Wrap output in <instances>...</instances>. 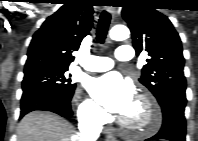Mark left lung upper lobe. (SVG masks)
I'll return each instance as SVG.
<instances>
[{
	"mask_svg": "<svg viewBox=\"0 0 198 141\" xmlns=\"http://www.w3.org/2000/svg\"><path fill=\"white\" fill-rule=\"evenodd\" d=\"M154 6L150 0H129L122 15L131 30L136 54L145 50L150 56L139 81L162 104L169 98H186V79L180 37L170 20Z\"/></svg>",
	"mask_w": 198,
	"mask_h": 141,
	"instance_id": "left-lung-upper-lobe-1",
	"label": "left lung upper lobe"
}]
</instances>
